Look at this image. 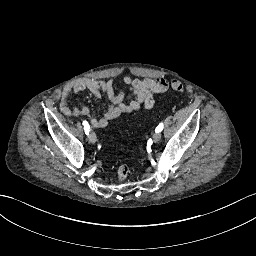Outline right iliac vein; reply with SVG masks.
Here are the masks:
<instances>
[{"mask_svg":"<svg viewBox=\"0 0 256 256\" xmlns=\"http://www.w3.org/2000/svg\"><path fill=\"white\" fill-rule=\"evenodd\" d=\"M88 140L90 143H95L97 138H96V134L92 131L90 132L89 136H88Z\"/></svg>","mask_w":256,"mask_h":256,"instance_id":"right-iliac-vein-1","label":"right iliac vein"}]
</instances>
